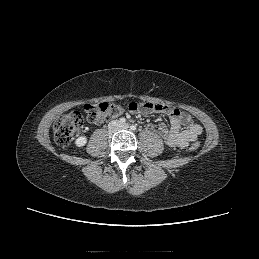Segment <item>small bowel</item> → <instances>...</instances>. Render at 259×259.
<instances>
[{"label":"small bowel","instance_id":"1","mask_svg":"<svg viewBox=\"0 0 259 259\" xmlns=\"http://www.w3.org/2000/svg\"><path fill=\"white\" fill-rule=\"evenodd\" d=\"M128 108L132 112L163 113L169 117L170 127L164 124L149 125L148 128L160 135L170 147H186L202 133V127L195 123L191 116L179 109L160 104H151L145 100L131 102Z\"/></svg>","mask_w":259,"mask_h":259}]
</instances>
